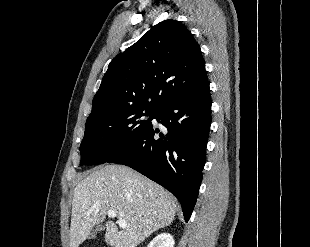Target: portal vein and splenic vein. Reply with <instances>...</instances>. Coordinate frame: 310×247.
Listing matches in <instances>:
<instances>
[{
    "label": "portal vein and splenic vein",
    "instance_id": "18ae733b",
    "mask_svg": "<svg viewBox=\"0 0 310 247\" xmlns=\"http://www.w3.org/2000/svg\"><path fill=\"white\" fill-rule=\"evenodd\" d=\"M107 215H108L109 218H115L116 217V212L113 211V210H108L107 211ZM117 224L119 225L120 228H126V226H127V223L124 220H122V219H119L117 221Z\"/></svg>",
    "mask_w": 310,
    "mask_h": 247
}]
</instances>
